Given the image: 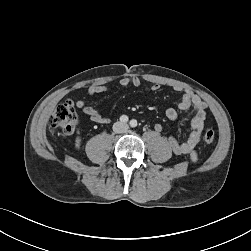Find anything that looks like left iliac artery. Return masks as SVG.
<instances>
[{
    "label": "left iliac artery",
    "instance_id": "obj_1",
    "mask_svg": "<svg viewBox=\"0 0 251 251\" xmlns=\"http://www.w3.org/2000/svg\"><path fill=\"white\" fill-rule=\"evenodd\" d=\"M130 126L133 127V128L136 127L137 126V121L135 119H132L130 121Z\"/></svg>",
    "mask_w": 251,
    "mask_h": 251
}]
</instances>
